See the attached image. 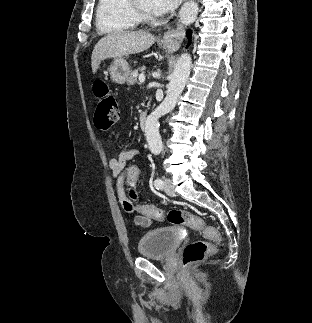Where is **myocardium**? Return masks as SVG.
Returning a JSON list of instances; mask_svg holds the SVG:
<instances>
[{
    "mask_svg": "<svg viewBox=\"0 0 312 323\" xmlns=\"http://www.w3.org/2000/svg\"><path fill=\"white\" fill-rule=\"evenodd\" d=\"M131 8H135V5H131ZM135 13L136 15H140L138 19L141 21H147L150 17L149 12H144L143 8H136Z\"/></svg>",
    "mask_w": 312,
    "mask_h": 323,
    "instance_id": "1",
    "label": "myocardium"
}]
</instances>
